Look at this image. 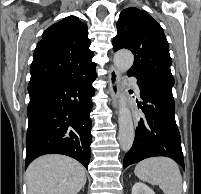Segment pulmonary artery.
Instances as JSON below:
<instances>
[{"mask_svg": "<svg viewBox=\"0 0 201 194\" xmlns=\"http://www.w3.org/2000/svg\"><path fill=\"white\" fill-rule=\"evenodd\" d=\"M127 80H128V82L132 85V87H133V89L135 90V92H136L137 94H139L140 89H139V86H138V84H137L136 79H135L134 77H128Z\"/></svg>", "mask_w": 201, "mask_h": 194, "instance_id": "1", "label": "pulmonary artery"}]
</instances>
